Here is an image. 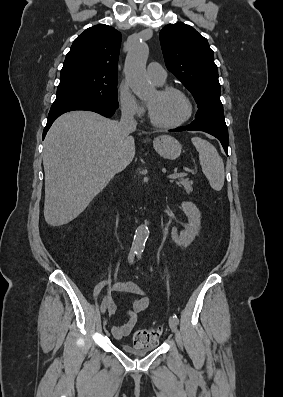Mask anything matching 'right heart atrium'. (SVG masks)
Masks as SVG:
<instances>
[{"label": "right heart atrium", "mask_w": 283, "mask_h": 397, "mask_svg": "<svg viewBox=\"0 0 283 397\" xmlns=\"http://www.w3.org/2000/svg\"><path fill=\"white\" fill-rule=\"evenodd\" d=\"M118 103L122 113L127 117H141L145 112L144 106L126 84H121L118 88Z\"/></svg>", "instance_id": "1"}]
</instances>
